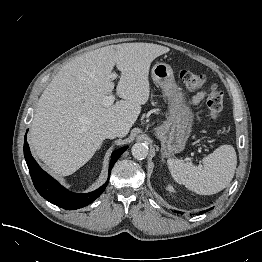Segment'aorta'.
Wrapping results in <instances>:
<instances>
[{"mask_svg":"<svg viewBox=\"0 0 262 262\" xmlns=\"http://www.w3.org/2000/svg\"><path fill=\"white\" fill-rule=\"evenodd\" d=\"M148 146L145 143H135L131 148L132 156L137 160H143L148 155Z\"/></svg>","mask_w":262,"mask_h":262,"instance_id":"762f6f07","label":"aorta"}]
</instances>
